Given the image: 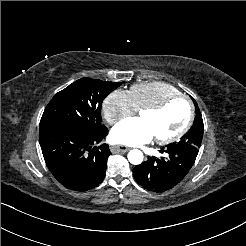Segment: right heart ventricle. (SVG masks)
Here are the masks:
<instances>
[{"mask_svg":"<svg viewBox=\"0 0 246 246\" xmlns=\"http://www.w3.org/2000/svg\"><path fill=\"white\" fill-rule=\"evenodd\" d=\"M178 93L179 91L175 87L164 82L140 83L130 88V95L137 111L158 104Z\"/></svg>","mask_w":246,"mask_h":246,"instance_id":"obj_1","label":"right heart ventricle"}]
</instances>
